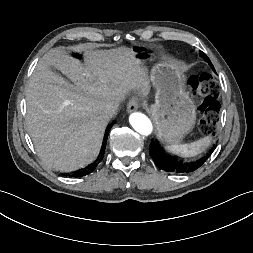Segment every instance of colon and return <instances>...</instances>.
<instances>
[{
	"instance_id": "1",
	"label": "colon",
	"mask_w": 253,
	"mask_h": 253,
	"mask_svg": "<svg viewBox=\"0 0 253 253\" xmlns=\"http://www.w3.org/2000/svg\"><path fill=\"white\" fill-rule=\"evenodd\" d=\"M192 89L196 95L202 98L200 131L205 135L214 134L220 112L215 81L210 74L202 73L193 80Z\"/></svg>"
}]
</instances>
